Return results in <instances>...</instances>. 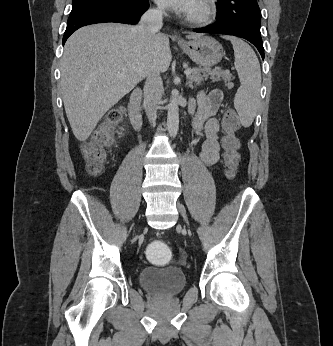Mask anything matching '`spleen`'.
<instances>
[{
    "label": "spleen",
    "instance_id": "obj_1",
    "mask_svg": "<svg viewBox=\"0 0 333 346\" xmlns=\"http://www.w3.org/2000/svg\"><path fill=\"white\" fill-rule=\"evenodd\" d=\"M234 49V65L241 86L234 98V106L245 127H249L256 116L260 101L261 69L253 49L236 37H225Z\"/></svg>",
    "mask_w": 333,
    "mask_h": 346
}]
</instances>
